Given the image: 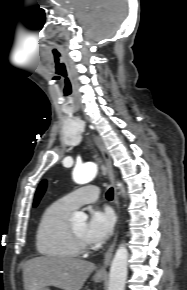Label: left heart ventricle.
<instances>
[{"mask_svg": "<svg viewBox=\"0 0 187 290\" xmlns=\"http://www.w3.org/2000/svg\"><path fill=\"white\" fill-rule=\"evenodd\" d=\"M73 230L79 235L82 239L86 240L85 233H86V223L85 222H75L71 224Z\"/></svg>", "mask_w": 187, "mask_h": 290, "instance_id": "left-heart-ventricle-1", "label": "left heart ventricle"}]
</instances>
